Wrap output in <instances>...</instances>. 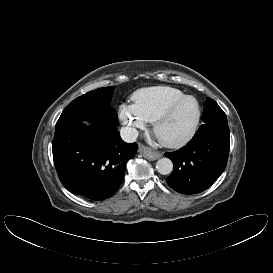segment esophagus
Segmentation results:
<instances>
[{
  "label": "esophagus",
  "instance_id": "esophagus-1",
  "mask_svg": "<svg viewBox=\"0 0 273 273\" xmlns=\"http://www.w3.org/2000/svg\"><path fill=\"white\" fill-rule=\"evenodd\" d=\"M138 152L148 160H157L162 156L160 152L154 151L153 149L146 147L143 144H139Z\"/></svg>",
  "mask_w": 273,
  "mask_h": 273
}]
</instances>
